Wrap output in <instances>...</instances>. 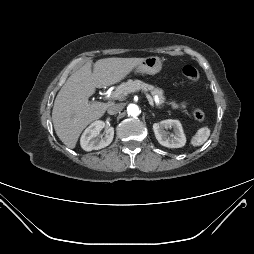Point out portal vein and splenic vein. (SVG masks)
Listing matches in <instances>:
<instances>
[{"label":"portal vein and splenic vein","instance_id":"1","mask_svg":"<svg viewBox=\"0 0 254 254\" xmlns=\"http://www.w3.org/2000/svg\"><path fill=\"white\" fill-rule=\"evenodd\" d=\"M145 94H146V97H147V99L149 101V104L153 107L154 103H153L152 97L148 93H145ZM120 95H121L120 92H114V93L108 95V97L109 98H119ZM155 101L158 102V98H155Z\"/></svg>","mask_w":254,"mask_h":254}]
</instances>
